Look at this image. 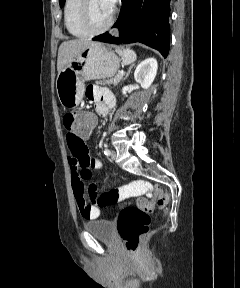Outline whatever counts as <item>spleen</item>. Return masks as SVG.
Masks as SVG:
<instances>
[{
    "mask_svg": "<svg viewBox=\"0 0 240 288\" xmlns=\"http://www.w3.org/2000/svg\"><path fill=\"white\" fill-rule=\"evenodd\" d=\"M118 53L121 55L125 63H132L136 60V53L132 49L118 50Z\"/></svg>",
    "mask_w": 240,
    "mask_h": 288,
    "instance_id": "1",
    "label": "spleen"
}]
</instances>
